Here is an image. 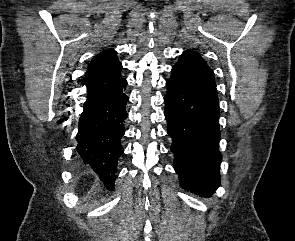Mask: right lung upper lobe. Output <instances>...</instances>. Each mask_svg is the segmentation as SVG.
<instances>
[{"label": "right lung upper lobe", "mask_w": 295, "mask_h": 241, "mask_svg": "<svg viewBox=\"0 0 295 241\" xmlns=\"http://www.w3.org/2000/svg\"><path fill=\"white\" fill-rule=\"evenodd\" d=\"M121 70L116 51L109 49L97 54L88 65L85 76L88 93L120 84L125 80L120 75Z\"/></svg>", "instance_id": "right-lung-upper-lobe-1"}]
</instances>
